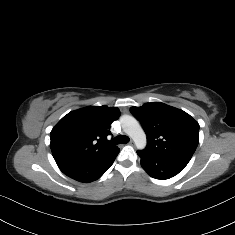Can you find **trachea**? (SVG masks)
<instances>
[{
	"label": "trachea",
	"instance_id": "3493384b",
	"mask_svg": "<svg viewBox=\"0 0 235 235\" xmlns=\"http://www.w3.org/2000/svg\"><path fill=\"white\" fill-rule=\"evenodd\" d=\"M129 137L128 136H122L118 135L113 139L114 144H126L129 142Z\"/></svg>",
	"mask_w": 235,
	"mask_h": 235
}]
</instances>
